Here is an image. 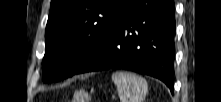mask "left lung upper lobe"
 <instances>
[{
	"mask_svg": "<svg viewBox=\"0 0 221 102\" xmlns=\"http://www.w3.org/2000/svg\"><path fill=\"white\" fill-rule=\"evenodd\" d=\"M129 0H52L46 26L44 82L74 75L95 53Z\"/></svg>",
	"mask_w": 221,
	"mask_h": 102,
	"instance_id": "obj_1",
	"label": "left lung upper lobe"
}]
</instances>
